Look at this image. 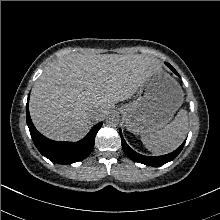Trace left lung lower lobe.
<instances>
[{
  "label": "left lung lower lobe",
  "mask_w": 220,
  "mask_h": 220,
  "mask_svg": "<svg viewBox=\"0 0 220 220\" xmlns=\"http://www.w3.org/2000/svg\"><path fill=\"white\" fill-rule=\"evenodd\" d=\"M166 65L176 74L179 76V74L177 73V71L168 63H166ZM119 134L121 136V141H122V148L123 151L125 152V154L133 161L138 162V163H142L148 166H160L163 165L167 162L172 161L182 150L185 142L175 151H173L170 154L164 155V156H156V157H150V156H144L141 154L136 153L135 151H133L125 142L121 130L119 131Z\"/></svg>",
  "instance_id": "1"
}]
</instances>
